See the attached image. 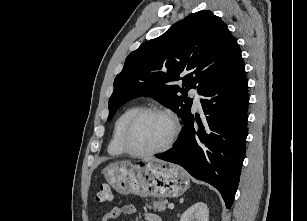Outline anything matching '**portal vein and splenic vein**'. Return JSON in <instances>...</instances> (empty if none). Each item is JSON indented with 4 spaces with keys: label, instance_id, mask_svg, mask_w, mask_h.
Returning <instances> with one entry per match:
<instances>
[{
    "label": "portal vein and splenic vein",
    "instance_id": "1",
    "mask_svg": "<svg viewBox=\"0 0 307 221\" xmlns=\"http://www.w3.org/2000/svg\"><path fill=\"white\" fill-rule=\"evenodd\" d=\"M168 208L169 209H174V204L173 203L168 204Z\"/></svg>",
    "mask_w": 307,
    "mask_h": 221
}]
</instances>
